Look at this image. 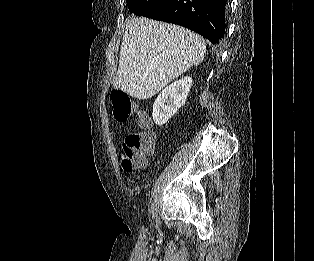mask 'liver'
<instances>
[{"mask_svg": "<svg viewBox=\"0 0 314 261\" xmlns=\"http://www.w3.org/2000/svg\"><path fill=\"white\" fill-rule=\"evenodd\" d=\"M205 54L200 35L178 25L132 16L125 26L113 86L136 99H149L200 64Z\"/></svg>", "mask_w": 314, "mask_h": 261, "instance_id": "obj_1", "label": "liver"}]
</instances>
